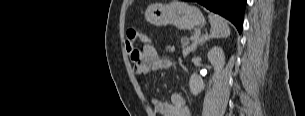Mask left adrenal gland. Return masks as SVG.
I'll list each match as a JSON object with an SVG mask.
<instances>
[{"instance_id": "1", "label": "left adrenal gland", "mask_w": 305, "mask_h": 116, "mask_svg": "<svg viewBox=\"0 0 305 116\" xmlns=\"http://www.w3.org/2000/svg\"><path fill=\"white\" fill-rule=\"evenodd\" d=\"M207 39H208V38H207V37H205V38H204V40H203L202 42H200V44L202 45V44H203L205 41H207ZM196 48H197V46H194V48H193L192 52H193V51H195V50H196Z\"/></svg>"}]
</instances>
